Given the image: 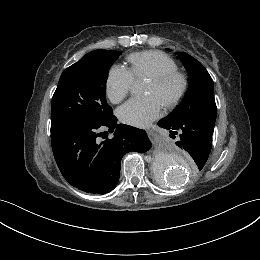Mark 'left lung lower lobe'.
I'll use <instances>...</instances> for the list:
<instances>
[{"mask_svg": "<svg viewBox=\"0 0 260 260\" xmlns=\"http://www.w3.org/2000/svg\"><path fill=\"white\" fill-rule=\"evenodd\" d=\"M158 125L170 130L171 136L175 137V134H179L176 145L187 151L195 161L198 169L201 170L212 148L214 125L195 117L174 121L168 116L161 119Z\"/></svg>", "mask_w": 260, "mask_h": 260, "instance_id": "0a47b994", "label": "left lung lower lobe"}]
</instances>
